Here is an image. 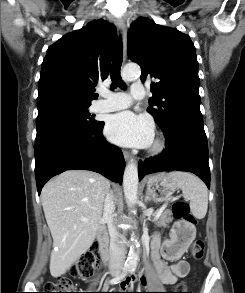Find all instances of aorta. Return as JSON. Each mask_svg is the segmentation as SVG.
<instances>
[{"label": "aorta", "mask_w": 245, "mask_h": 293, "mask_svg": "<svg viewBox=\"0 0 245 293\" xmlns=\"http://www.w3.org/2000/svg\"><path fill=\"white\" fill-rule=\"evenodd\" d=\"M140 68L136 64L126 65L122 72V79L125 81H132L139 75ZM138 168L133 162L126 165L123 176V189L126 197L128 206L132 208L137 202V191H138ZM139 260L138 251L133 249L130 251L129 256L126 260V266L128 268H135Z\"/></svg>", "instance_id": "762f6f07"}]
</instances>
